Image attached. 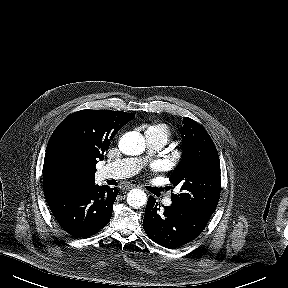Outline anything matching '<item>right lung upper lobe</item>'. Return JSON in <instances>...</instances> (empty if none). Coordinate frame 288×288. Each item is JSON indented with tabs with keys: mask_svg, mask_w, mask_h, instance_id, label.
Here are the masks:
<instances>
[{
	"mask_svg": "<svg viewBox=\"0 0 288 288\" xmlns=\"http://www.w3.org/2000/svg\"><path fill=\"white\" fill-rule=\"evenodd\" d=\"M133 114L80 110L65 118L51 135L43 165L46 198L95 183V166L114 135Z\"/></svg>",
	"mask_w": 288,
	"mask_h": 288,
	"instance_id": "obj_1",
	"label": "right lung upper lobe"
}]
</instances>
